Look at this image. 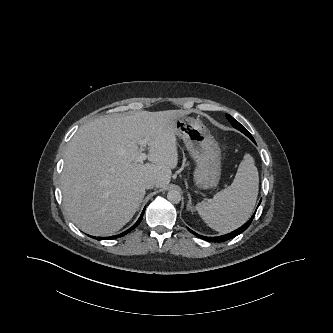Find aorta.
Wrapping results in <instances>:
<instances>
[{
  "label": "aorta",
  "mask_w": 333,
  "mask_h": 333,
  "mask_svg": "<svg viewBox=\"0 0 333 333\" xmlns=\"http://www.w3.org/2000/svg\"><path fill=\"white\" fill-rule=\"evenodd\" d=\"M167 199L174 204H178L181 201V195L177 190H171L167 194Z\"/></svg>",
  "instance_id": "762f6f07"
}]
</instances>
